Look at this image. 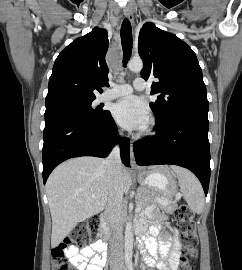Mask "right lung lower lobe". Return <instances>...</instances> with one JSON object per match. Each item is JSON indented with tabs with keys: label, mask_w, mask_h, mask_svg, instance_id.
Returning <instances> with one entry per match:
<instances>
[{
	"label": "right lung lower lobe",
	"mask_w": 242,
	"mask_h": 270,
	"mask_svg": "<svg viewBox=\"0 0 242 270\" xmlns=\"http://www.w3.org/2000/svg\"><path fill=\"white\" fill-rule=\"evenodd\" d=\"M43 139L44 184L52 170L61 162L79 156L107 157L120 140L110 112L102 119H94L79 111L45 118ZM120 144L122 162L129 166V139H121Z\"/></svg>",
	"instance_id": "obj_1"
}]
</instances>
